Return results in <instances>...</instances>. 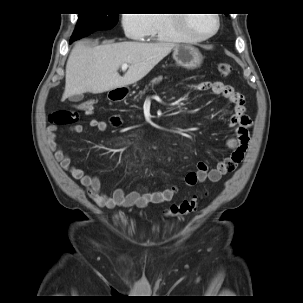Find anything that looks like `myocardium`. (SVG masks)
I'll return each mask as SVG.
<instances>
[{"label":"myocardium","mask_w":303,"mask_h":303,"mask_svg":"<svg viewBox=\"0 0 303 303\" xmlns=\"http://www.w3.org/2000/svg\"><path fill=\"white\" fill-rule=\"evenodd\" d=\"M178 17V21L185 32L187 39L189 40H208L212 38L219 30L221 19L218 14H211L215 20V27L212 31L207 34H195L189 29V15L188 14H176Z\"/></svg>","instance_id":"obj_1"}]
</instances>
